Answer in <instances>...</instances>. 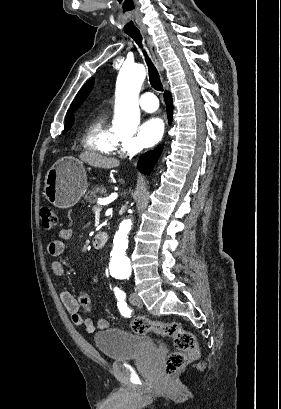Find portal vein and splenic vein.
I'll use <instances>...</instances> for the list:
<instances>
[{"instance_id":"portal-vein-and-splenic-vein-1","label":"portal vein and splenic vein","mask_w":281,"mask_h":409,"mask_svg":"<svg viewBox=\"0 0 281 409\" xmlns=\"http://www.w3.org/2000/svg\"><path fill=\"white\" fill-rule=\"evenodd\" d=\"M91 212L95 213L96 216H99L100 215V204L94 203L93 206L91 207Z\"/></svg>"}]
</instances>
